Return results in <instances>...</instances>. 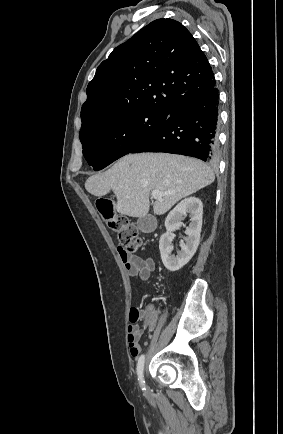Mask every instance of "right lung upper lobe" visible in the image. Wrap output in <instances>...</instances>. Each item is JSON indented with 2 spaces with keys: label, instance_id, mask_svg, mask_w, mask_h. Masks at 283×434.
I'll use <instances>...</instances> for the list:
<instances>
[{
  "label": "right lung upper lobe",
  "instance_id": "1",
  "mask_svg": "<svg viewBox=\"0 0 283 434\" xmlns=\"http://www.w3.org/2000/svg\"><path fill=\"white\" fill-rule=\"evenodd\" d=\"M213 76L207 57L180 22L155 20L98 66L87 87L81 130L129 111L171 113L212 89Z\"/></svg>",
  "mask_w": 283,
  "mask_h": 434
}]
</instances>
